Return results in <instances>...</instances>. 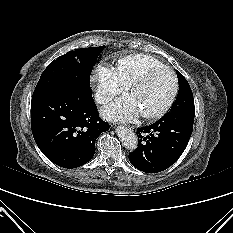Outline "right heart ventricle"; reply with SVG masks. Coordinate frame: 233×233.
Wrapping results in <instances>:
<instances>
[{
  "instance_id": "1",
  "label": "right heart ventricle",
  "mask_w": 233,
  "mask_h": 233,
  "mask_svg": "<svg viewBox=\"0 0 233 233\" xmlns=\"http://www.w3.org/2000/svg\"><path fill=\"white\" fill-rule=\"evenodd\" d=\"M163 65L158 59L146 54L128 55L118 60L117 71L128 86L145 69Z\"/></svg>"
}]
</instances>
